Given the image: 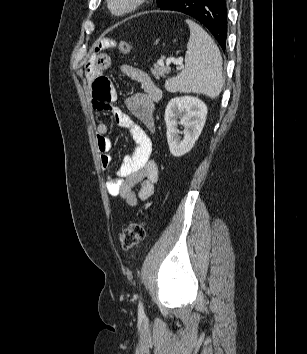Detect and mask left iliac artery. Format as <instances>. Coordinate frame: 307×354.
<instances>
[{"mask_svg":"<svg viewBox=\"0 0 307 354\" xmlns=\"http://www.w3.org/2000/svg\"><path fill=\"white\" fill-rule=\"evenodd\" d=\"M139 310H140L141 312H143V305H142L141 302L139 303Z\"/></svg>","mask_w":307,"mask_h":354,"instance_id":"1","label":"left iliac artery"}]
</instances>
